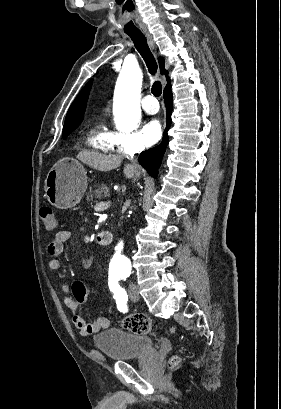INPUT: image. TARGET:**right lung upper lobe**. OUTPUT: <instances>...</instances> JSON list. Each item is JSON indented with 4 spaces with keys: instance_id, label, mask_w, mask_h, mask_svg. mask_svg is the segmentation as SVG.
<instances>
[{
    "instance_id": "obj_1",
    "label": "right lung upper lobe",
    "mask_w": 281,
    "mask_h": 409,
    "mask_svg": "<svg viewBox=\"0 0 281 409\" xmlns=\"http://www.w3.org/2000/svg\"><path fill=\"white\" fill-rule=\"evenodd\" d=\"M159 67L161 74H166V79L168 82L164 89V91H166L167 89L171 88V83L170 78L168 77V72L165 70L164 59L162 57L159 58ZM91 84L92 80L86 84V86L82 89L77 98L71 104L65 118L64 126L79 125L81 123Z\"/></svg>"
}]
</instances>
